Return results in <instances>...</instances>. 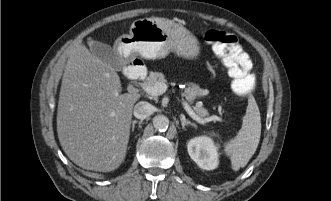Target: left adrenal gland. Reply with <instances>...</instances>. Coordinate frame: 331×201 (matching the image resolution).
Instances as JSON below:
<instances>
[{
    "mask_svg": "<svg viewBox=\"0 0 331 201\" xmlns=\"http://www.w3.org/2000/svg\"><path fill=\"white\" fill-rule=\"evenodd\" d=\"M180 121H181L183 130H185V126H188V125L193 126L194 128H196L195 123L190 122L184 116L180 117Z\"/></svg>",
    "mask_w": 331,
    "mask_h": 201,
    "instance_id": "a2214340",
    "label": "left adrenal gland"
}]
</instances>
